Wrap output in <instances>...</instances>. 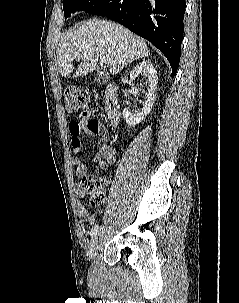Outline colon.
<instances>
[{
    "label": "colon",
    "instance_id": "obj_1",
    "mask_svg": "<svg viewBox=\"0 0 239 303\" xmlns=\"http://www.w3.org/2000/svg\"><path fill=\"white\" fill-rule=\"evenodd\" d=\"M66 110L69 114L75 115L87 112L89 105L88 95L75 87H68L65 90ZM83 190L90 196L93 205L103 203L105 192L102 181L92 175L85 174L81 179Z\"/></svg>",
    "mask_w": 239,
    "mask_h": 303
}]
</instances>
